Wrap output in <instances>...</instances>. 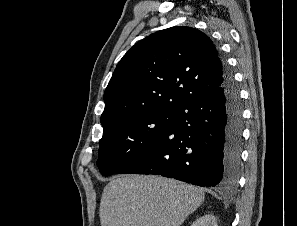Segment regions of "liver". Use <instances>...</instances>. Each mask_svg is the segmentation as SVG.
<instances>
[{
	"instance_id": "6515ba94",
	"label": "liver",
	"mask_w": 297,
	"mask_h": 226,
	"mask_svg": "<svg viewBox=\"0 0 297 226\" xmlns=\"http://www.w3.org/2000/svg\"><path fill=\"white\" fill-rule=\"evenodd\" d=\"M204 192L154 175H125L104 188L101 226H180L204 201Z\"/></svg>"
}]
</instances>
